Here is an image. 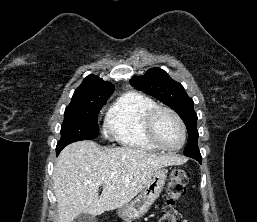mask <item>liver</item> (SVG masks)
Wrapping results in <instances>:
<instances>
[{"instance_id":"obj_1","label":"liver","mask_w":257,"mask_h":222,"mask_svg":"<svg viewBox=\"0 0 257 222\" xmlns=\"http://www.w3.org/2000/svg\"><path fill=\"white\" fill-rule=\"evenodd\" d=\"M185 161L132 147L101 149L93 141L72 143L59 154L53 172L57 222H72L81 213L96 216L120 208L144 189L155 171Z\"/></svg>"}]
</instances>
